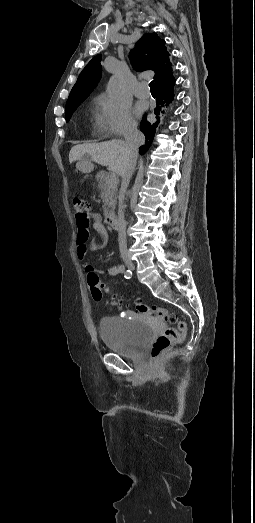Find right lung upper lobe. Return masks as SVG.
I'll list each match as a JSON object with an SVG mask.
<instances>
[{
    "label": "right lung upper lobe",
    "instance_id": "cb5924a9",
    "mask_svg": "<svg viewBox=\"0 0 255 523\" xmlns=\"http://www.w3.org/2000/svg\"><path fill=\"white\" fill-rule=\"evenodd\" d=\"M130 60L134 69L138 71L151 70L155 72L153 77L157 91V107L153 113L156 119H159L161 106L164 101L168 104L173 100V87L175 78L173 76V67L170 61V54L166 49L165 42L156 33L144 34L135 48L131 50ZM101 56H95L82 70L75 85L73 86L68 102H83L97 86L100 78L102 66L100 64ZM157 120L155 123L146 120L144 115L140 130L145 136V144L140 147L139 151L144 154L150 147L156 132Z\"/></svg>",
    "mask_w": 255,
    "mask_h": 523
}]
</instances>
